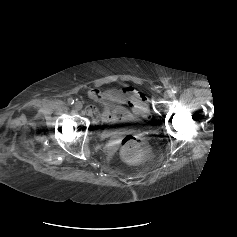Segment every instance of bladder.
Here are the masks:
<instances>
[{
    "label": "bladder",
    "mask_w": 237,
    "mask_h": 237,
    "mask_svg": "<svg viewBox=\"0 0 237 237\" xmlns=\"http://www.w3.org/2000/svg\"><path fill=\"white\" fill-rule=\"evenodd\" d=\"M131 124H133L132 120L118 121L115 124H113L112 128L110 129V132L114 133L118 129L125 127V126H129Z\"/></svg>",
    "instance_id": "31cf9c89"
}]
</instances>
